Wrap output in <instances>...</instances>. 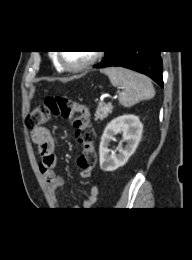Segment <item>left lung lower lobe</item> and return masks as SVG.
Masks as SVG:
<instances>
[{
	"label": "left lung lower lobe",
	"mask_w": 192,
	"mask_h": 260,
	"mask_svg": "<svg viewBox=\"0 0 192 260\" xmlns=\"http://www.w3.org/2000/svg\"><path fill=\"white\" fill-rule=\"evenodd\" d=\"M121 66L143 73L163 87L162 59L159 50L108 51L95 68Z\"/></svg>",
	"instance_id": "left-lung-lower-lobe-1"
}]
</instances>
